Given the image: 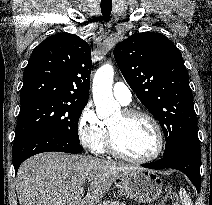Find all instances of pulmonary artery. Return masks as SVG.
<instances>
[{
    "instance_id": "1",
    "label": "pulmonary artery",
    "mask_w": 212,
    "mask_h": 205,
    "mask_svg": "<svg viewBox=\"0 0 212 205\" xmlns=\"http://www.w3.org/2000/svg\"><path fill=\"white\" fill-rule=\"evenodd\" d=\"M114 97L123 105H128L132 100L130 89L122 82H117L113 86Z\"/></svg>"
}]
</instances>
